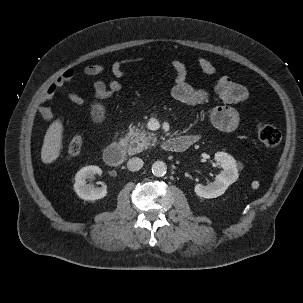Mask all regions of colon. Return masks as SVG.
<instances>
[{"mask_svg":"<svg viewBox=\"0 0 303 303\" xmlns=\"http://www.w3.org/2000/svg\"><path fill=\"white\" fill-rule=\"evenodd\" d=\"M114 93L105 92L101 98H97L98 101H103L111 97ZM254 130L260 139V141L270 148H276L280 145L282 141L281 132L275 127L256 123L254 124ZM83 144V137L81 134H75L68 143L67 150L65 153V159L70 160L75 158L81 151Z\"/></svg>","mask_w":303,"mask_h":303,"instance_id":"colon-1","label":"colon"}]
</instances>
